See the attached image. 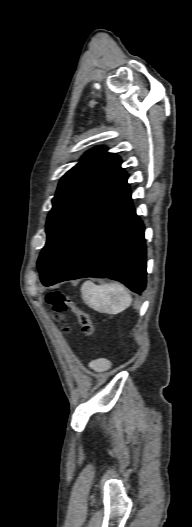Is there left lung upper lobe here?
Instances as JSON below:
<instances>
[{
  "label": "left lung upper lobe",
  "mask_w": 192,
  "mask_h": 527,
  "mask_svg": "<svg viewBox=\"0 0 192 527\" xmlns=\"http://www.w3.org/2000/svg\"><path fill=\"white\" fill-rule=\"evenodd\" d=\"M121 159L104 147L88 151L60 180L47 224V242L37 267L45 276L94 209L125 177Z\"/></svg>",
  "instance_id": "left-lung-upper-lobe-1"
}]
</instances>
